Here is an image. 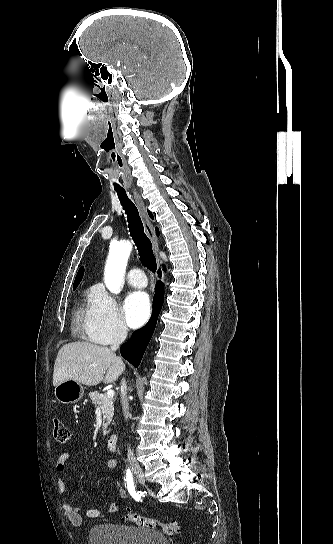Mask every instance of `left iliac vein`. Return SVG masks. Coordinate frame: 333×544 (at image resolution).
<instances>
[{
	"mask_svg": "<svg viewBox=\"0 0 333 544\" xmlns=\"http://www.w3.org/2000/svg\"><path fill=\"white\" fill-rule=\"evenodd\" d=\"M139 481H140L141 483H143V482H144V479L140 476Z\"/></svg>",
	"mask_w": 333,
	"mask_h": 544,
	"instance_id": "1",
	"label": "left iliac vein"
}]
</instances>
